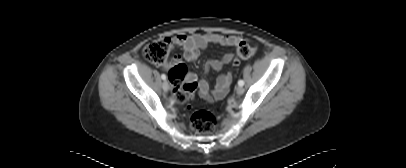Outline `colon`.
I'll return each instance as SVG.
<instances>
[{"label": "colon", "mask_w": 406, "mask_h": 168, "mask_svg": "<svg viewBox=\"0 0 406 168\" xmlns=\"http://www.w3.org/2000/svg\"><path fill=\"white\" fill-rule=\"evenodd\" d=\"M172 47L170 39H156L149 42L143 49L144 58L153 64H163L166 62ZM257 51L255 45L247 42H240L233 60L238 65L241 60L252 57ZM188 69L184 64L175 65L170 71L172 81V97L179 103L184 104L192 99L193 92L197 85L195 82H183V78ZM192 129L200 135H210L216 128V117L206 110L195 111L190 117Z\"/></svg>", "instance_id": "colon-1"}]
</instances>
